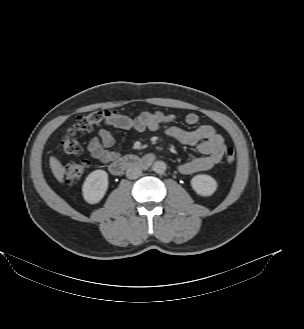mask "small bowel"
Listing matches in <instances>:
<instances>
[{"label":"small bowel","mask_w":304,"mask_h":329,"mask_svg":"<svg viewBox=\"0 0 304 329\" xmlns=\"http://www.w3.org/2000/svg\"><path fill=\"white\" fill-rule=\"evenodd\" d=\"M143 114H148L150 119L145 121L141 115L136 119H131L117 114L107 122V126L135 132L156 131L165 127L167 135L171 138L181 144L196 147L203 155L180 164L179 171L185 175L210 170L221 161L226 151V143L213 126L203 124L189 130L175 124L177 116L173 113L154 111ZM199 121V115L196 113H188L185 116L187 125L195 126ZM114 142L113 133L108 128H102L98 132V137L89 141L88 151L94 159L107 164L119 156L118 152L110 149Z\"/></svg>","instance_id":"c3829d8e"}]
</instances>
